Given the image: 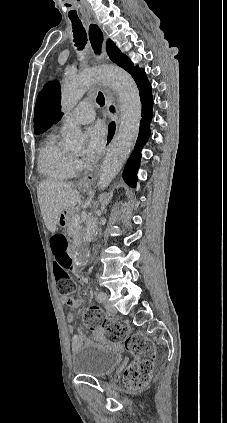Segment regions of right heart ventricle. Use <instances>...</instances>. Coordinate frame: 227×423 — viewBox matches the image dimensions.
<instances>
[{"label": "right heart ventricle", "mask_w": 227, "mask_h": 423, "mask_svg": "<svg viewBox=\"0 0 227 423\" xmlns=\"http://www.w3.org/2000/svg\"><path fill=\"white\" fill-rule=\"evenodd\" d=\"M73 155L58 143V135L50 133L42 143L38 154V171L49 179L63 180L72 176Z\"/></svg>", "instance_id": "right-heart-ventricle-1"}]
</instances>
